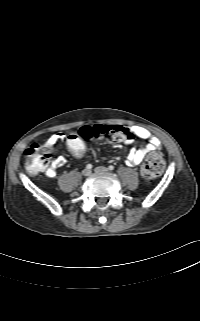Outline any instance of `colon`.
Listing matches in <instances>:
<instances>
[{
  "label": "colon",
  "instance_id": "obj_1",
  "mask_svg": "<svg viewBox=\"0 0 200 321\" xmlns=\"http://www.w3.org/2000/svg\"><path fill=\"white\" fill-rule=\"evenodd\" d=\"M104 139L111 143H129L133 133L129 128L120 125H86L81 127L76 134L70 135L65 140V147L71 151L75 159L85 156L84 140ZM49 148L45 145L34 143L25 150L26 167L29 172L36 174L42 171L50 160ZM164 170V159L160 153L150 154L141 168V174L147 181H152Z\"/></svg>",
  "mask_w": 200,
  "mask_h": 321
}]
</instances>
